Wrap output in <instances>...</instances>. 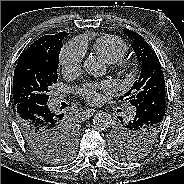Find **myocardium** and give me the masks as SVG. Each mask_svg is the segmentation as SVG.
I'll return each instance as SVG.
<instances>
[{"instance_id": "myocardium-1", "label": "myocardium", "mask_w": 184, "mask_h": 184, "mask_svg": "<svg viewBox=\"0 0 184 184\" xmlns=\"http://www.w3.org/2000/svg\"><path fill=\"white\" fill-rule=\"evenodd\" d=\"M115 69L122 75L129 77L134 72V64L131 60L120 59L116 62Z\"/></svg>"}]
</instances>
